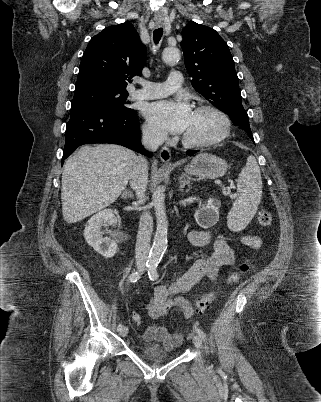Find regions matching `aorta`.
Here are the masks:
<instances>
[{"mask_svg":"<svg viewBox=\"0 0 321 402\" xmlns=\"http://www.w3.org/2000/svg\"><path fill=\"white\" fill-rule=\"evenodd\" d=\"M180 51L175 47H167L162 53V59L169 65H175L180 59ZM152 205L156 216V232L147 261L148 268L155 270L167 249L168 221L165 209V195L160 187L153 191Z\"/></svg>","mask_w":321,"mask_h":402,"instance_id":"obj_1","label":"aorta"}]
</instances>
